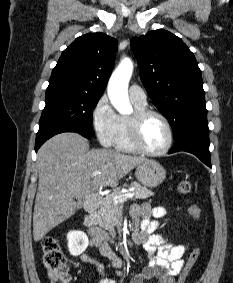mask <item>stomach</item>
<instances>
[{"mask_svg":"<svg viewBox=\"0 0 233 283\" xmlns=\"http://www.w3.org/2000/svg\"><path fill=\"white\" fill-rule=\"evenodd\" d=\"M135 175L144 186L156 187L165 180L166 171L157 161L147 160L137 166Z\"/></svg>","mask_w":233,"mask_h":283,"instance_id":"stomach-1","label":"stomach"}]
</instances>
